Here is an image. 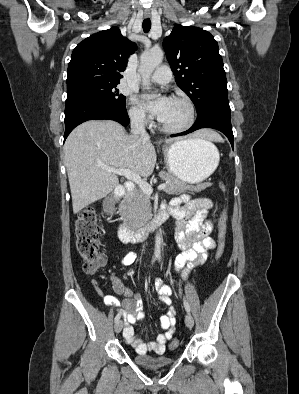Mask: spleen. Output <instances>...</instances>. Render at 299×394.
<instances>
[{
	"label": "spleen",
	"instance_id": "1",
	"mask_svg": "<svg viewBox=\"0 0 299 394\" xmlns=\"http://www.w3.org/2000/svg\"><path fill=\"white\" fill-rule=\"evenodd\" d=\"M211 146H213V144L211 142H208Z\"/></svg>",
	"mask_w": 299,
	"mask_h": 394
}]
</instances>
